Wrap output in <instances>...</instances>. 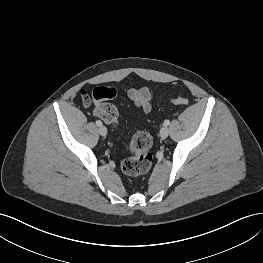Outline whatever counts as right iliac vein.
I'll return each instance as SVG.
<instances>
[{"instance_id": "right-iliac-vein-1", "label": "right iliac vein", "mask_w": 263, "mask_h": 263, "mask_svg": "<svg viewBox=\"0 0 263 263\" xmlns=\"http://www.w3.org/2000/svg\"><path fill=\"white\" fill-rule=\"evenodd\" d=\"M99 133H100V135H102V136H106V135H107V129H106V127L101 125V126L99 127Z\"/></svg>"}]
</instances>
